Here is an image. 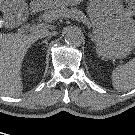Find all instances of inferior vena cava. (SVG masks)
Segmentation results:
<instances>
[{
  "label": "inferior vena cava",
  "instance_id": "obj_1",
  "mask_svg": "<svg viewBox=\"0 0 135 135\" xmlns=\"http://www.w3.org/2000/svg\"><path fill=\"white\" fill-rule=\"evenodd\" d=\"M56 35V32H49V31H42L39 33V37L40 38H44V37H51Z\"/></svg>",
  "mask_w": 135,
  "mask_h": 135
}]
</instances>
